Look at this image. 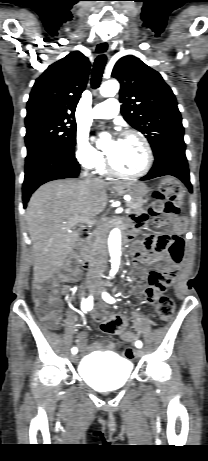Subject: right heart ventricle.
Returning a JSON list of instances; mask_svg holds the SVG:
<instances>
[{
    "label": "right heart ventricle",
    "mask_w": 208,
    "mask_h": 461,
    "mask_svg": "<svg viewBox=\"0 0 208 461\" xmlns=\"http://www.w3.org/2000/svg\"><path fill=\"white\" fill-rule=\"evenodd\" d=\"M100 171H101V172H104V168H103V167H100Z\"/></svg>",
    "instance_id": "obj_1"
}]
</instances>
